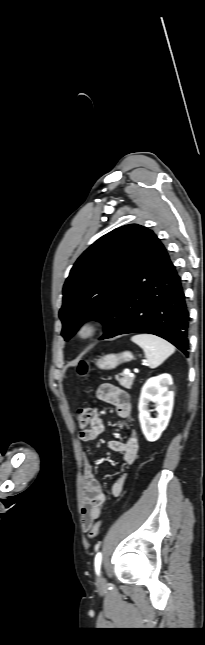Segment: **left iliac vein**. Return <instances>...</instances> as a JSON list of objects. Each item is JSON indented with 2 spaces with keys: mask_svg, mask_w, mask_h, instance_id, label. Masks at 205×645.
<instances>
[{
  "mask_svg": "<svg viewBox=\"0 0 205 645\" xmlns=\"http://www.w3.org/2000/svg\"><path fill=\"white\" fill-rule=\"evenodd\" d=\"M103 582H104V578H103L102 574H99L98 577H97V583L102 584Z\"/></svg>",
  "mask_w": 205,
  "mask_h": 645,
  "instance_id": "obj_1",
  "label": "left iliac vein"
}]
</instances>
